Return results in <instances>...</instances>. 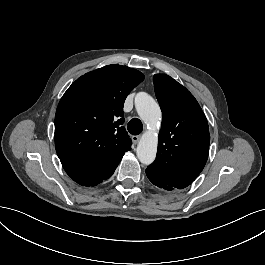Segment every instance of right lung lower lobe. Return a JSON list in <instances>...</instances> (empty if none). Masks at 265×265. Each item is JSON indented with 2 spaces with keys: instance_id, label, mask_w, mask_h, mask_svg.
Returning <instances> with one entry per match:
<instances>
[{
  "instance_id": "right-lung-lower-lobe-1",
  "label": "right lung lower lobe",
  "mask_w": 265,
  "mask_h": 265,
  "mask_svg": "<svg viewBox=\"0 0 265 265\" xmlns=\"http://www.w3.org/2000/svg\"><path fill=\"white\" fill-rule=\"evenodd\" d=\"M126 151L106 160L60 159L66 173L82 186H95L109 178Z\"/></svg>"
}]
</instances>
